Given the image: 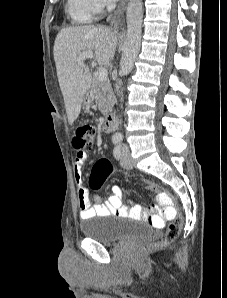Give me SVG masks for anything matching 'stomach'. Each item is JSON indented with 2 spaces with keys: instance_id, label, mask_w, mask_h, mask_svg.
Returning <instances> with one entry per match:
<instances>
[{
  "instance_id": "0dacf381",
  "label": "stomach",
  "mask_w": 227,
  "mask_h": 298,
  "mask_svg": "<svg viewBox=\"0 0 227 298\" xmlns=\"http://www.w3.org/2000/svg\"><path fill=\"white\" fill-rule=\"evenodd\" d=\"M93 99V94L91 92H88L83 99V106L85 108L90 107L93 103Z\"/></svg>"
}]
</instances>
